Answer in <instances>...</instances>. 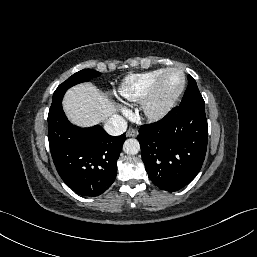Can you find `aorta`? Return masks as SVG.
<instances>
[{"label":"aorta","instance_id":"762f6f07","mask_svg":"<svg viewBox=\"0 0 257 257\" xmlns=\"http://www.w3.org/2000/svg\"><path fill=\"white\" fill-rule=\"evenodd\" d=\"M123 150L129 155H135L140 151V144L137 139H127L123 144Z\"/></svg>","mask_w":257,"mask_h":257}]
</instances>
